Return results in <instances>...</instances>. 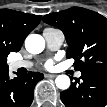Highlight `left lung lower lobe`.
<instances>
[{"label":"left lung lower lobe","instance_id":"0a47b994","mask_svg":"<svg viewBox=\"0 0 107 107\" xmlns=\"http://www.w3.org/2000/svg\"><path fill=\"white\" fill-rule=\"evenodd\" d=\"M60 97L66 107H107V75L82 72Z\"/></svg>","mask_w":107,"mask_h":107}]
</instances>
